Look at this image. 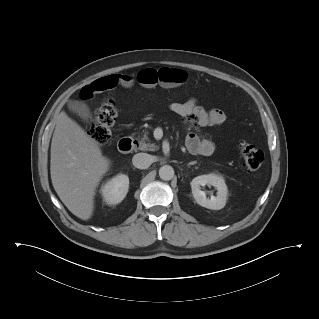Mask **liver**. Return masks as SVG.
Returning <instances> with one entry per match:
<instances>
[{
  "mask_svg": "<svg viewBox=\"0 0 319 319\" xmlns=\"http://www.w3.org/2000/svg\"><path fill=\"white\" fill-rule=\"evenodd\" d=\"M110 168L99 143L65 112L59 114L51 142L50 174L63 204L82 220L91 218L96 188Z\"/></svg>",
  "mask_w": 319,
  "mask_h": 319,
  "instance_id": "liver-1",
  "label": "liver"
}]
</instances>
